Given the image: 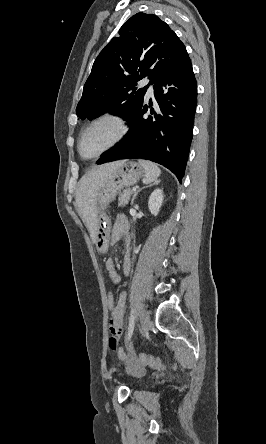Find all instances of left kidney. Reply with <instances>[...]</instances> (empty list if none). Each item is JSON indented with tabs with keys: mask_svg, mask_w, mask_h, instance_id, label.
<instances>
[{
	"mask_svg": "<svg viewBox=\"0 0 266 444\" xmlns=\"http://www.w3.org/2000/svg\"><path fill=\"white\" fill-rule=\"evenodd\" d=\"M163 198H164L163 191L159 188L155 189L151 193L148 201V207L153 215H157L159 213L163 203Z\"/></svg>",
	"mask_w": 266,
	"mask_h": 444,
	"instance_id": "1",
	"label": "left kidney"
}]
</instances>
